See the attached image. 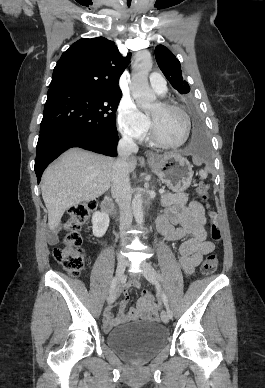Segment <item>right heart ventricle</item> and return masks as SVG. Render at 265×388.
<instances>
[{
  "label": "right heart ventricle",
  "instance_id": "1",
  "mask_svg": "<svg viewBox=\"0 0 265 388\" xmlns=\"http://www.w3.org/2000/svg\"><path fill=\"white\" fill-rule=\"evenodd\" d=\"M158 96H159L160 98H163V97L165 96V93H164L163 91H160V92L158 93Z\"/></svg>",
  "mask_w": 265,
  "mask_h": 388
}]
</instances>
